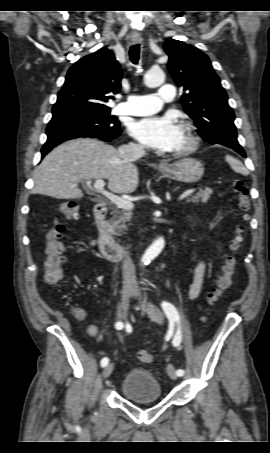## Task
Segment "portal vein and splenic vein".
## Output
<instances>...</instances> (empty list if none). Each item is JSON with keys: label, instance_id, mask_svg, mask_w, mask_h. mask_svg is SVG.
I'll return each mask as SVG.
<instances>
[{"label": "portal vein and splenic vein", "instance_id": "obj_1", "mask_svg": "<svg viewBox=\"0 0 270 453\" xmlns=\"http://www.w3.org/2000/svg\"><path fill=\"white\" fill-rule=\"evenodd\" d=\"M105 182L102 179L96 180L94 183V188L100 192L102 195H104L110 202L115 204L118 208L124 209V210H131L133 209L134 205L132 202L129 200L123 199L115 194H112L110 192H107L104 190ZM195 189H189L185 191L181 196L179 197V200H183L190 196Z\"/></svg>", "mask_w": 270, "mask_h": 453}]
</instances>
